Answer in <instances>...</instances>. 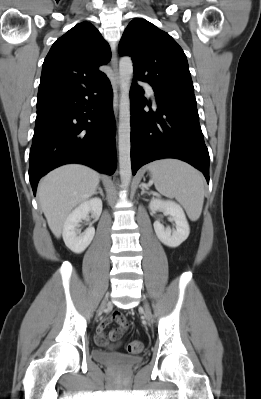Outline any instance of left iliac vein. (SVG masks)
<instances>
[{
  "instance_id": "left-iliac-vein-1",
  "label": "left iliac vein",
  "mask_w": 261,
  "mask_h": 399,
  "mask_svg": "<svg viewBox=\"0 0 261 399\" xmlns=\"http://www.w3.org/2000/svg\"><path fill=\"white\" fill-rule=\"evenodd\" d=\"M144 315L145 319L150 323L152 319V314L147 303H144Z\"/></svg>"
}]
</instances>
